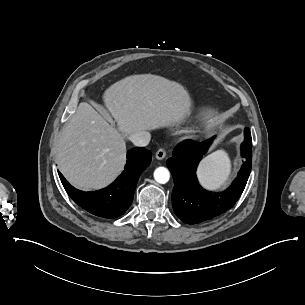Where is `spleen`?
<instances>
[{
	"instance_id": "obj_1",
	"label": "spleen",
	"mask_w": 305,
	"mask_h": 305,
	"mask_svg": "<svg viewBox=\"0 0 305 305\" xmlns=\"http://www.w3.org/2000/svg\"><path fill=\"white\" fill-rule=\"evenodd\" d=\"M228 172V159L223 152L218 151L203 160L199 176L203 184L210 188L223 187Z\"/></svg>"
}]
</instances>
